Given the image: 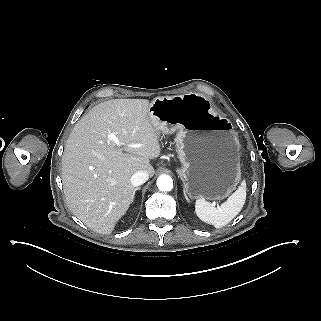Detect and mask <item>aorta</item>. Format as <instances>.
I'll return each instance as SVG.
<instances>
[{"mask_svg":"<svg viewBox=\"0 0 321 321\" xmlns=\"http://www.w3.org/2000/svg\"><path fill=\"white\" fill-rule=\"evenodd\" d=\"M157 187L161 191H170L173 188V180L169 175H161L157 179Z\"/></svg>","mask_w":321,"mask_h":321,"instance_id":"obj_1","label":"aorta"}]
</instances>
